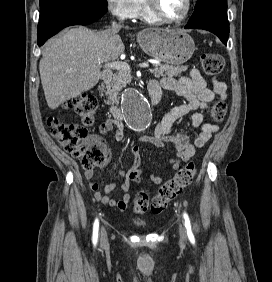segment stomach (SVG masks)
<instances>
[{"label":"stomach","instance_id":"obj_1","mask_svg":"<svg viewBox=\"0 0 272 282\" xmlns=\"http://www.w3.org/2000/svg\"><path fill=\"white\" fill-rule=\"evenodd\" d=\"M137 41L145 53L169 65L185 63L195 51L192 37L181 29L147 28Z\"/></svg>","mask_w":272,"mask_h":282}]
</instances>
